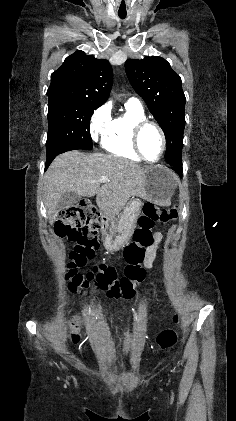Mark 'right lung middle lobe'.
<instances>
[{"mask_svg": "<svg viewBox=\"0 0 236 421\" xmlns=\"http://www.w3.org/2000/svg\"><path fill=\"white\" fill-rule=\"evenodd\" d=\"M48 102L47 155L64 147L92 149L90 119L102 104L68 96H48Z\"/></svg>", "mask_w": 236, "mask_h": 421, "instance_id": "right-lung-middle-lobe-1", "label": "right lung middle lobe"}]
</instances>
